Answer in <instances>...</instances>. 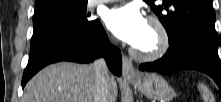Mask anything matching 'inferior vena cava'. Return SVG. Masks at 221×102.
<instances>
[{
  "mask_svg": "<svg viewBox=\"0 0 221 102\" xmlns=\"http://www.w3.org/2000/svg\"><path fill=\"white\" fill-rule=\"evenodd\" d=\"M95 73L94 102H108L107 92L109 83V69L103 58H99L93 63Z\"/></svg>",
  "mask_w": 221,
  "mask_h": 102,
  "instance_id": "1",
  "label": "inferior vena cava"
}]
</instances>
